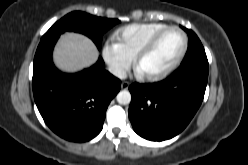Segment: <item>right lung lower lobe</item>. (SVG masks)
<instances>
[{
	"label": "right lung lower lobe",
	"instance_id": "obj_1",
	"mask_svg": "<svg viewBox=\"0 0 248 165\" xmlns=\"http://www.w3.org/2000/svg\"><path fill=\"white\" fill-rule=\"evenodd\" d=\"M58 37L40 42L33 65V94L47 126L60 137L85 142L103 128L110 101L120 90L121 81L104 70L100 57L92 67L76 74L57 70L52 50Z\"/></svg>",
	"mask_w": 248,
	"mask_h": 165
}]
</instances>
